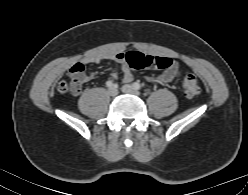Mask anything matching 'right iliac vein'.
<instances>
[{
	"instance_id": "obj_1",
	"label": "right iliac vein",
	"mask_w": 248,
	"mask_h": 195,
	"mask_svg": "<svg viewBox=\"0 0 248 195\" xmlns=\"http://www.w3.org/2000/svg\"><path fill=\"white\" fill-rule=\"evenodd\" d=\"M108 94L112 97L116 96L118 94V90L115 87H110L108 89Z\"/></svg>"
}]
</instances>
